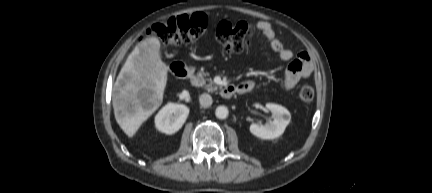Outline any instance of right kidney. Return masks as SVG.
I'll return each instance as SVG.
<instances>
[{
	"instance_id": "ca27d5eb",
	"label": "right kidney",
	"mask_w": 432,
	"mask_h": 193,
	"mask_svg": "<svg viewBox=\"0 0 432 193\" xmlns=\"http://www.w3.org/2000/svg\"><path fill=\"white\" fill-rule=\"evenodd\" d=\"M188 114L187 106L168 103L155 116V126L163 133L174 134L183 126Z\"/></svg>"
}]
</instances>
